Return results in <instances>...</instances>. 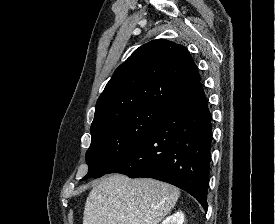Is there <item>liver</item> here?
Instances as JSON below:
<instances>
[{
	"mask_svg": "<svg viewBox=\"0 0 275 224\" xmlns=\"http://www.w3.org/2000/svg\"><path fill=\"white\" fill-rule=\"evenodd\" d=\"M179 196V189L168 183L110 175L90 191L83 224H158Z\"/></svg>",
	"mask_w": 275,
	"mask_h": 224,
	"instance_id": "liver-1",
	"label": "liver"
}]
</instances>
